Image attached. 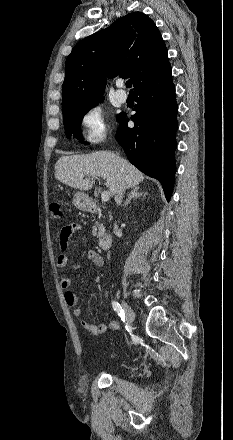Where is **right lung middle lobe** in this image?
I'll use <instances>...</instances> for the list:
<instances>
[{"mask_svg": "<svg viewBox=\"0 0 233 440\" xmlns=\"http://www.w3.org/2000/svg\"><path fill=\"white\" fill-rule=\"evenodd\" d=\"M102 101L103 98H98L63 108L62 113H63L66 136L70 137L71 135H73L77 139H80L81 143L88 144L87 142H83L81 140L82 134L80 131V125L87 111ZM122 115L123 113L117 116L118 121L120 120Z\"/></svg>", "mask_w": 233, "mask_h": 440, "instance_id": "1", "label": "right lung middle lobe"}]
</instances>
